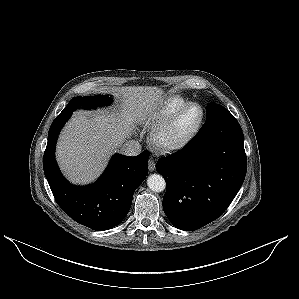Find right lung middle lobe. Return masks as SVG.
Instances as JSON below:
<instances>
[{"label":"right lung middle lobe","mask_w":299,"mask_h":299,"mask_svg":"<svg viewBox=\"0 0 299 299\" xmlns=\"http://www.w3.org/2000/svg\"><path fill=\"white\" fill-rule=\"evenodd\" d=\"M112 98L108 95H96L88 97H75L68 105L63 109V111H74L77 108L91 109L99 105H107L111 103Z\"/></svg>","instance_id":"obj_1"}]
</instances>
